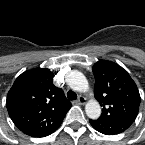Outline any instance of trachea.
<instances>
[{
  "instance_id": "3493384b",
  "label": "trachea",
  "mask_w": 145,
  "mask_h": 145,
  "mask_svg": "<svg viewBox=\"0 0 145 145\" xmlns=\"http://www.w3.org/2000/svg\"><path fill=\"white\" fill-rule=\"evenodd\" d=\"M67 98H68L69 100H75V99H77V94H76L75 92L69 90V91L67 92Z\"/></svg>"
}]
</instances>
